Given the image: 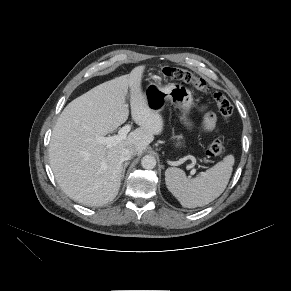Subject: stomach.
Returning <instances> with one entry per match:
<instances>
[{
    "mask_svg": "<svg viewBox=\"0 0 291 291\" xmlns=\"http://www.w3.org/2000/svg\"><path fill=\"white\" fill-rule=\"evenodd\" d=\"M144 97L153 112L162 111L168 101L184 113H188L193 106L191 91L178 83H170L166 86L150 83L145 89Z\"/></svg>",
    "mask_w": 291,
    "mask_h": 291,
    "instance_id": "1",
    "label": "stomach"
}]
</instances>
